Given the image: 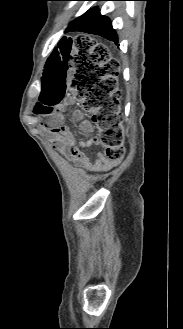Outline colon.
<instances>
[{"instance_id": "1", "label": "colon", "mask_w": 183, "mask_h": 329, "mask_svg": "<svg viewBox=\"0 0 183 329\" xmlns=\"http://www.w3.org/2000/svg\"><path fill=\"white\" fill-rule=\"evenodd\" d=\"M60 52L42 55L44 73L40 81L43 88L37 113L57 117L65 103L66 109H83L98 128V138L104 147L108 162H117L124 156V133L119 102L111 95L114 83L103 79L102 73H120V66H102V62H115V55H103L101 47L92 48L95 37H60ZM57 127H50L55 130Z\"/></svg>"}]
</instances>
